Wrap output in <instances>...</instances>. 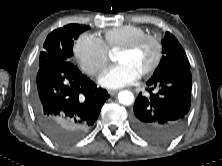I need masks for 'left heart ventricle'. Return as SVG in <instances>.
Returning <instances> with one entry per match:
<instances>
[{
    "label": "left heart ventricle",
    "instance_id": "1",
    "mask_svg": "<svg viewBox=\"0 0 222 166\" xmlns=\"http://www.w3.org/2000/svg\"><path fill=\"white\" fill-rule=\"evenodd\" d=\"M154 56V44L146 41L133 52H118L116 54V60L119 63L130 65L141 74L152 64Z\"/></svg>",
    "mask_w": 222,
    "mask_h": 166
}]
</instances>
